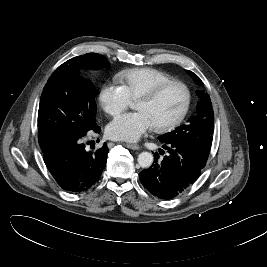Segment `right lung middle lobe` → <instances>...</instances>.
<instances>
[{
    "label": "right lung middle lobe",
    "instance_id": "right-lung-middle-lobe-1",
    "mask_svg": "<svg viewBox=\"0 0 267 267\" xmlns=\"http://www.w3.org/2000/svg\"><path fill=\"white\" fill-rule=\"evenodd\" d=\"M108 65L96 53L74 57L59 66L45 85L38 111V140L42 151L66 135L85 134L96 124L97 91L79 77L81 68L99 69Z\"/></svg>",
    "mask_w": 267,
    "mask_h": 267
}]
</instances>
